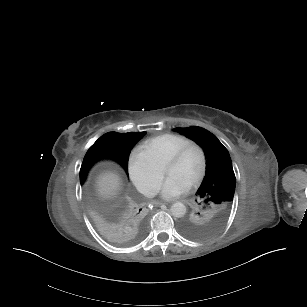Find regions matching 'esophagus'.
<instances>
[{
	"label": "esophagus",
	"instance_id": "34e87169",
	"mask_svg": "<svg viewBox=\"0 0 307 307\" xmlns=\"http://www.w3.org/2000/svg\"><path fill=\"white\" fill-rule=\"evenodd\" d=\"M155 204L158 205V206H160V205H162L163 203L157 201Z\"/></svg>",
	"mask_w": 307,
	"mask_h": 307
}]
</instances>
